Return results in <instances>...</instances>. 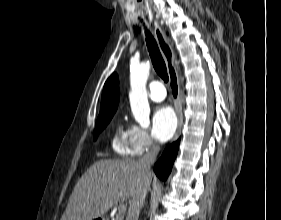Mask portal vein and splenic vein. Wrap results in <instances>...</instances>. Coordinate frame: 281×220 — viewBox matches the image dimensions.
Listing matches in <instances>:
<instances>
[{
    "instance_id": "obj_1",
    "label": "portal vein and splenic vein",
    "mask_w": 281,
    "mask_h": 220,
    "mask_svg": "<svg viewBox=\"0 0 281 220\" xmlns=\"http://www.w3.org/2000/svg\"><path fill=\"white\" fill-rule=\"evenodd\" d=\"M124 211H126V207L123 206V205H121V206L119 207V212H124Z\"/></svg>"
}]
</instances>
